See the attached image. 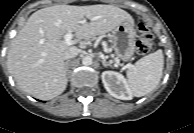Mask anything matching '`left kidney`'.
<instances>
[{
  "label": "left kidney",
  "mask_w": 194,
  "mask_h": 133,
  "mask_svg": "<svg viewBox=\"0 0 194 133\" xmlns=\"http://www.w3.org/2000/svg\"><path fill=\"white\" fill-rule=\"evenodd\" d=\"M101 77L105 89L111 96L121 100L132 99V91L122 74L114 71H104Z\"/></svg>",
  "instance_id": "1"
}]
</instances>
